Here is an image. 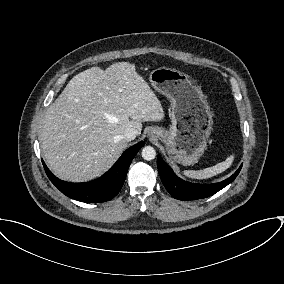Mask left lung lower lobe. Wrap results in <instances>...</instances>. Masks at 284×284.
<instances>
[{"mask_svg":"<svg viewBox=\"0 0 284 284\" xmlns=\"http://www.w3.org/2000/svg\"><path fill=\"white\" fill-rule=\"evenodd\" d=\"M157 167L162 183L171 194L172 197L178 200H194L203 199L214 195L228 184H230L239 174L242 165L239 169L228 179L219 183L213 184H193L178 178L173 170L165 163V161L158 155Z\"/></svg>","mask_w":284,"mask_h":284,"instance_id":"1","label":"left lung lower lobe"}]
</instances>
